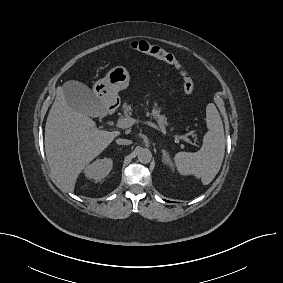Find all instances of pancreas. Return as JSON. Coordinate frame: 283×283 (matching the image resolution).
Wrapping results in <instances>:
<instances>
[{
    "instance_id": "1",
    "label": "pancreas",
    "mask_w": 283,
    "mask_h": 283,
    "mask_svg": "<svg viewBox=\"0 0 283 283\" xmlns=\"http://www.w3.org/2000/svg\"><path fill=\"white\" fill-rule=\"evenodd\" d=\"M132 111H133V109H132L131 105L125 102L123 104V115L121 116L120 119L130 117V115L132 114ZM145 112L148 116H152L157 121V123L159 124L160 127L164 128L165 126L168 125L167 117L165 115L161 114V111H160L159 108L154 107L151 110V112H148V108L146 107Z\"/></svg>"
}]
</instances>
